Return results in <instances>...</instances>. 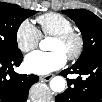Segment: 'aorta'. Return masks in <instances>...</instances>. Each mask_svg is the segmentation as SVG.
<instances>
[{
  "instance_id": "762f6f07",
  "label": "aorta",
  "mask_w": 102,
  "mask_h": 102,
  "mask_svg": "<svg viewBox=\"0 0 102 102\" xmlns=\"http://www.w3.org/2000/svg\"><path fill=\"white\" fill-rule=\"evenodd\" d=\"M49 42H50V38H48V37L41 40L39 43L40 49L42 51L49 50ZM65 85H66V81L61 76L53 77L50 81V88L52 89V91H54L56 93L63 92L65 90Z\"/></svg>"
}]
</instances>
